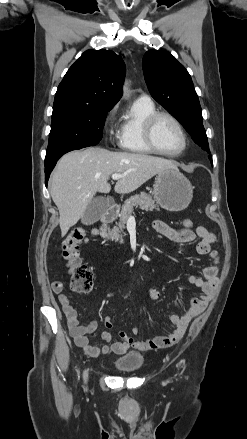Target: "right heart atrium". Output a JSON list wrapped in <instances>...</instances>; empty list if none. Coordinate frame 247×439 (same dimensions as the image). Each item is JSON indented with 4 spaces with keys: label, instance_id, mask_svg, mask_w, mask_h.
Returning <instances> with one entry per match:
<instances>
[{
    "label": "right heart atrium",
    "instance_id": "obj_1",
    "mask_svg": "<svg viewBox=\"0 0 247 439\" xmlns=\"http://www.w3.org/2000/svg\"><path fill=\"white\" fill-rule=\"evenodd\" d=\"M116 111L117 107H112L106 114L104 119V128L107 135L108 140L111 143H115L119 141L120 132L116 125Z\"/></svg>",
    "mask_w": 247,
    "mask_h": 439
}]
</instances>
